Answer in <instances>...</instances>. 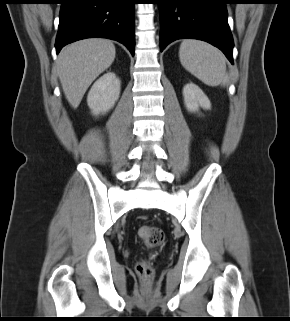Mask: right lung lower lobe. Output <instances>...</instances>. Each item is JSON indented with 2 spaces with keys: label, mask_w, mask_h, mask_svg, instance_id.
I'll return each instance as SVG.
<instances>
[{
  "label": "right lung lower lobe",
  "mask_w": 290,
  "mask_h": 321,
  "mask_svg": "<svg viewBox=\"0 0 290 321\" xmlns=\"http://www.w3.org/2000/svg\"><path fill=\"white\" fill-rule=\"evenodd\" d=\"M56 51L71 42L102 37L117 40L134 55L135 0H62Z\"/></svg>",
  "instance_id": "1"
}]
</instances>
